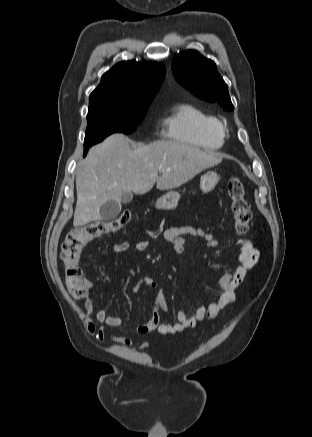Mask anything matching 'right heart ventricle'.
Wrapping results in <instances>:
<instances>
[{
	"mask_svg": "<svg viewBox=\"0 0 312 437\" xmlns=\"http://www.w3.org/2000/svg\"><path fill=\"white\" fill-rule=\"evenodd\" d=\"M162 128L171 140L208 149L220 148L225 140L221 120L190 104L176 106L163 119Z\"/></svg>",
	"mask_w": 312,
	"mask_h": 437,
	"instance_id": "right-heart-ventricle-1",
	"label": "right heart ventricle"
}]
</instances>
